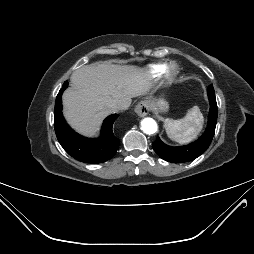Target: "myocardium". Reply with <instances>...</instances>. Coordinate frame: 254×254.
Returning <instances> with one entry per match:
<instances>
[{
	"label": "myocardium",
	"mask_w": 254,
	"mask_h": 254,
	"mask_svg": "<svg viewBox=\"0 0 254 254\" xmlns=\"http://www.w3.org/2000/svg\"><path fill=\"white\" fill-rule=\"evenodd\" d=\"M179 73V68L175 63L168 65L166 74L169 78H174Z\"/></svg>",
	"instance_id": "myocardium-1"
}]
</instances>
